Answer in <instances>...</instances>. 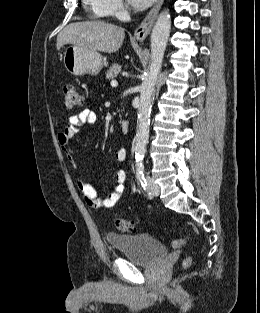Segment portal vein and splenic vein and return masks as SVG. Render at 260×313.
I'll list each match as a JSON object with an SVG mask.
<instances>
[{
	"instance_id": "portal-vein-and-splenic-vein-1",
	"label": "portal vein and splenic vein",
	"mask_w": 260,
	"mask_h": 313,
	"mask_svg": "<svg viewBox=\"0 0 260 313\" xmlns=\"http://www.w3.org/2000/svg\"><path fill=\"white\" fill-rule=\"evenodd\" d=\"M110 84L112 87H116L118 85V82L116 80H112Z\"/></svg>"
}]
</instances>
